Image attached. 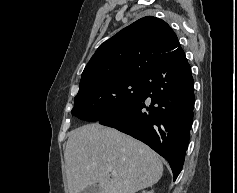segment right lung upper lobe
Returning <instances> with one entry per match:
<instances>
[{
    "mask_svg": "<svg viewBox=\"0 0 237 193\" xmlns=\"http://www.w3.org/2000/svg\"><path fill=\"white\" fill-rule=\"evenodd\" d=\"M181 49L165 21L143 17L101 44L82 73L79 89L104 80L145 77Z\"/></svg>",
    "mask_w": 237,
    "mask_h": 193,
    "instance_id": "1",
    "label": "right lung upper lobe"
}]
</instances>
